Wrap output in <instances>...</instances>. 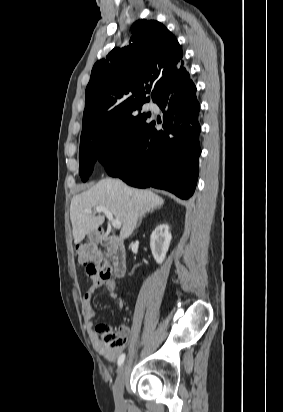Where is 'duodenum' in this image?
<instances>
[{
	"mask_svg": "<svg viewBox=\"0 0 283 412\" xmlns=\"http://www.w3.org/2000/svg\"><path fill=\"white\" fill-rule=\"evenodd\" d=\"M99 243H106L110 248V254L113 262V273L116 278L124 277L127 269V259L124 244L118 236L106 237L102 231L98 236Z\"/></svg>",
	"mask_w": 283,
	"mask_h": 412,
	"instance_id": "1",
	"label": "duodenum"
}]
</instances>
